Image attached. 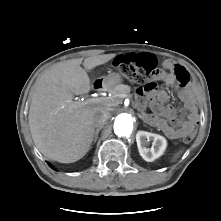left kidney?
<instances>
[{"mask_svg":"<svg viewBox=\"0 0 221 221\" xmlns=\"http://www.w3.org/2000/svg\"><path fill=\"white\" fill-rule=\"evenodd\" d=\"M136 141L141 157L147 162L159 158L167 146V141L163 136L146 131H139L136 135ZM149 141H152L151 148L147 147Z\"/></svg>","mask_w":221,"mask_h":221,"instance_id":"left-kidney-1","label":"left kidney"}]
</instances>
